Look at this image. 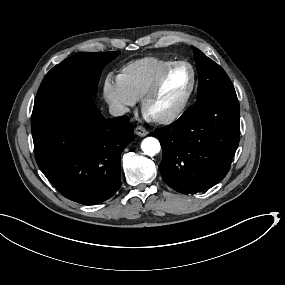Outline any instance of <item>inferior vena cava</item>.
Masks as SVG:
<instances>
[{
	"label": "inferior vena cava",
	"instance_id": "obj_1",
	"mask_svg": "<svg viewBox=\"0 0 285 285\" xmlns=\"http://www.w3.org/2000/svg\"><path fill=\"white\" fill-rule=\"evenodd\" d=\"M129 112V108L125 105L114 103L109 105V113L112 116H122L125 113Z\"/></svg>",
	"mask_w": 285,
	"mask_h": 285
}]
</instances>
